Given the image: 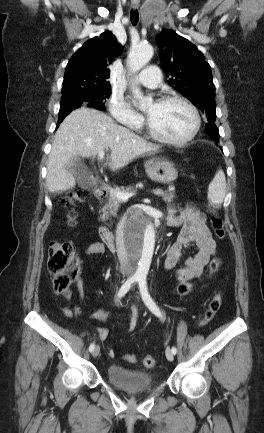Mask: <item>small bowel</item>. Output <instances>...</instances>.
Here are the masks:
<instances>
[{
    "label": "small bowel",
    "instance_id": "small-bowel-1",
    "mask_svg": "<svg viewBox=\"0 0 264 433\" xmlns=\"http://www.w3.org/2000/svg\"><path fill=\"white\" fill-rule=\"evenodd\" d=\"M167 221L172 226H181V231L176 242L167 250L164 268L175 271L177 283L188 282L202 274L204 267L216 253V243L206 225L205 215L193 205H186L180 211L170 209ZM191 247L196 248V254L187 258L183 267H179L178 264L184 251ZM104 251V245L100 241L92 242L85 249V253L88 255H99ZM76 286L77 303L73 308L67 305L63 308V313L68 318L81 314L79 303L83 301L85 293L80 276L76 279ZM137 320V316L134 315L132 326L136 324ZM95 334L100 341H104L108 337L109 331L107 328L101 327L96 329ZM108 353L111 357L115 355L114 350L111 348ZM125 359L129 362H136L137 360L134 355H127Z\"/></svg>",
    "mask_w": 264,
    "mask_h": 433
}]
</instances>
